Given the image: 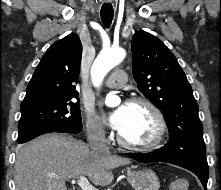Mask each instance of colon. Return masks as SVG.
Instances as JSON below:
<instances>
[{
    "instance_id": "obj_1",
    "label": "colon",
    "mask_w": 221,
    "mask_h": 190,
    "mask_svg": "<svg viewBox=\"0 0 221 190\" xmlns=\"http://www.w3.org/2000/svg\"><path fill=\"white\" fill-rule=\"evenodd\" d=\"M189 183L184 178L174 180L170 185V190H187Z\"/></svg>"
}]
</instances>
